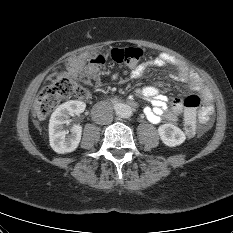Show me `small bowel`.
I'll use <instances>...</instances> for the list:
<instances>
[{"label":"small bowel","instance_id":"1","mask_svg":"<svg viewBox=\"0 0 233 233\" xmlns=\"http://www.w3.org/2000/svg\"><path fill=\"white\" fill-rule=\"evenodd\" d=\"M167 63H175V60L168 54L161 53L145 63L136 65L132 70V76L135 78L140 76L148 66H162ZM75 65L77 68H81L83 59H77ZM118 77V73H113L111 79L116 81ZM171 77L175 80L188 82L191 88L200 94L203 105L196 115L199 128L195 123L193 130L194 133L197 130L199 132H205L211 125V116L213 113L212 98L206 85L196 73L182 65L178 66V69L171 74ZM138 94L150 102V106L145 108L144 113L146 118L154 124H159L163 121H177L184 109V104L181 99L169 101L166 96L161 94L160 89L155 86H147L139 89Z\"/></svg>","mask_w":233,"mask_h":233}]
</instances>
